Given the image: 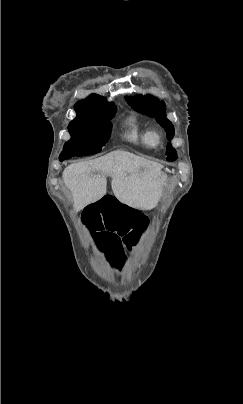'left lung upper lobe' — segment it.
<instances>
[{
  "instance_id": "left-lung-upper-lobe-1",
  "label": "left lung upper lobe",
  "mask_w": 243,
  "mask_h": 404,
  "mask_svg": "<svg viewBox=\"0 0 243 404\" xmlns=\"http://www.w3.org/2000/svg\"><path fill=\"white\" fill-rule=\"evenodd\" d=\"M125 99L134 110L150 117H155L156 121L165 129L168 140L172 139L174 136V126L166 118L165 103L163 101H158L151 96H138L135 99L125 97ZM166 155L168 156L167 160L169 161H173L177 158L176 151L172 148L171 144L167 145Z\"/></svg>"
}]
</instances>
